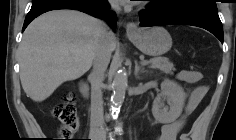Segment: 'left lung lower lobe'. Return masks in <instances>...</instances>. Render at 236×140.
Instances as JSON below:
<instances>
[{"label": "left lung lower lobe", "instance_id": "obj_1", "mask_svg": "<svg viewBox=\"0 0 236 140\" xmlns=\"http://www.w3.org/2000/svg\"><path fill=\"white\" fill-rule=\"evenodd\" d=\"M192 25L204 28L223 43V27L217 10L192 6L167 9L160 4L140 12V26Z\"/></svg>", "mask_w": 236, "mask_h": 140}]
</instances>
